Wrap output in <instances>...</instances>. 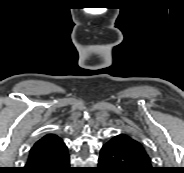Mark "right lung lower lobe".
Returning <instances> with one entry per match:
<instances>
[{
	"label": "right lung lower lobe",
	"mask_w": 184,
	"mask_h": 173,
	"mask_svg": "<svg viewBox=\"0 0 184 173\" xmlns=\"http://www.w3.org/2000/svg\"><path fill=\"white\" fill-rule=\"evenodd\" d=\"M67 147L44 156L31 157L21 173H74Z\"/></svg>",
	"instance_id": "1"
}]
</instances>
